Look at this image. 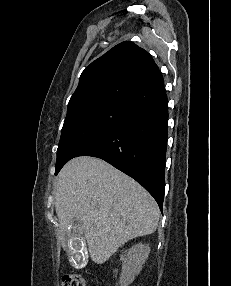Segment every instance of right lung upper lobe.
<instances>
[{
  "label": "right lung upper lobe",
  "instance_id": "cb5924a9",
  "mask_svg": "<svg viewBox=\"0 0 231 286\" xmlns=\"http://www.w3.org/2000/svg\"><path fill=\"white\" fill-rule=\"evenodd\" d=\"M162 81L157 65L145 50L130 41L122 42L82 72L67 114L103 101L130 106Z\"/></svg>",
  "mask_w": 231,
  "mask_h": 286
}]
</instances>
